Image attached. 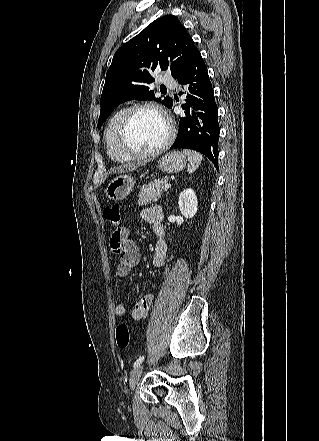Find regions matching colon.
Masks as SVG:
<instances>
[{
  "label": "colon",
  "mask_w": 319,
  "mask_h": 441,
  "mask_svg": "<svg viewBox=\"0 0 319 441\" xmlns=\"http://www.w3.org/2000/svg\"><path fill=\"white\" fill-rule=\"evenodd\" d=\"M103 217L112 227L116 229L113 234L114 236H117L122 223L121 210L119 205L111 204L106 206L103 210ZM115 337L117 346L119 348L124 349L128 347L130 338L129 330L126 325L120 324L117 326Z\"/></svg>",
  "instance_id": "5ec220e1"
}]
</instances>
